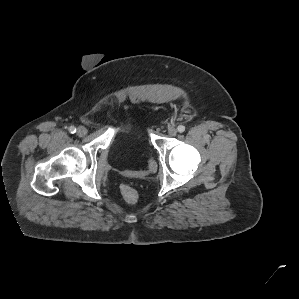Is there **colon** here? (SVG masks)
I'll list each match as a JSON object with an SVG mask.
<instances>
[{"mask_svg":"<svg viewBox=\"0 0 299 299\" xmlns=\"http://www.w3.org/2000/svg\"><path fill=\"white\" fill-rule=\"evenodd\" d=\"M156 169V163L155 161H150L149 163V172H153ZM146 173L145 172H136L130 174L133 177H142ZM121 194L123 199L128 203V204H135L137 199H138V194L136 190L130 186V185H123L121 187Z\"/></svg>","mask_w":299,"mask_h":299,"instance_id":"obj_1","label":"colon"}]
</instances>
